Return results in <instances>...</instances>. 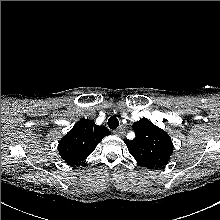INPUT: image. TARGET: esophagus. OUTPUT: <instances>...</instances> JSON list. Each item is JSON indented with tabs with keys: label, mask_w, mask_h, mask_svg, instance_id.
Returning <instances> with one entry per match:
<instances>
[{
	"label": "esophagus",
	"mask_w": 220,
	"mask_h": 220,
	"mask_svg": "<svg viewBox=\"0 0 220 220\" xmlns=\"http://www.w3.org/2000/svg\"><path fill=\"white\" fill-rule=\"evenodd\" d=\"M113 133L118 136H123L125 134V129L123 127H119L113 130Z\"/></svg>",
	"instance_id": "esophagus-1"
}]
</instances>
